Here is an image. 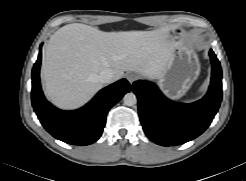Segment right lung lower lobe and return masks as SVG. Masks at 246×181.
Segmentation results:
<instances>
[{"instance_id": "1", "label": "right lung lower lobe", "mask_w": 246, "mask_h": 181, "mask_svg": "<svg viewBox=\"0 0 246 181\" xmlns=\"http://www.w3.org/2000/svg\"><path fill=\"white\" fill-rule=\"evenodd\" d=\"M42 52L32 70L31 100L43 127L56 139L72 145H89L97 141L106 123V115L127 92L130 84L121 79L102 89L89 103L75 111H62L44 97L40 85Z\"/></svg>"}]
</instances>
